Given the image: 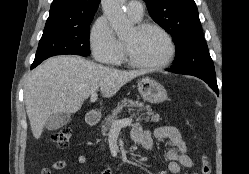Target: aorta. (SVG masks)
Returning a JSON list of instances; mask_svg holds the SVG:
<instances>
[{"instance_id":"aorta-1","label":"aorta","mask_w":249,"mask_h":174,"mask_svg":"<svg viewBox=\"0 0 249 174\" xmlns=\"http://www.w3.org/2000/svg\"><path fill=\"white\" fill-rule=\"evenodd\" d=\"M125 1L126 0H102L103 12L119 36L127 34L132 28V23L126 17L123 10Z\"/></svg>"}]
</instances>
